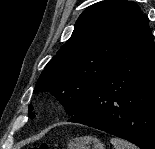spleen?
I'll return each instance as SVG.
<instances>
[{
    "label": "spleen",
    "instance_id": "obj_1",
    "mask_svg": "<svg viewBox=\"0 0 155 149\" xmlns=\"http://www.w3.org/2000/svg\"><path fill=\"white\" fill-rule=\"evenodd\" d=\"M110 141L114 149H138L135 145L119 138H111Z\"/></svg>",
    "mask_w": 155,
    "mask_h": 149
}]
</instances>
